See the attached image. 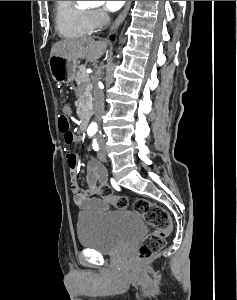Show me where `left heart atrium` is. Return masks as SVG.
Masks as SVG:
<instances>
[{
	"label": "left heart atrium",
	"mask_w": 237,
	"mask_h": 300,
	"mask_svg": "<svg viewBox=\"0 0 237 300\" xmlns=\"http://www.w3.org/2000/svg\"><path fill=\"white\" fill-rule=\"evenodd\" d=\"M125 1H105L104 7L109 12H115L122 8Z\"/></svg>",
	"instance_id": "1"
}]
</instances>
